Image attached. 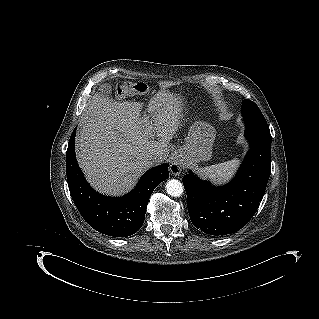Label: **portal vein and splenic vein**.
Wrapping results in <instances>:
<instances>
[{"label":"portal vein and splenic vein","mask_w":319,"mask_h":319,"mask_svg":"<svg viewBox=\"0 0 319 319\" xmlns=\"http://www.w3.org/2000/svg\"><path fill=\"white\" fill-rule=\"evenodd\" d=\"M147 118L149 119V117H147ZM152 129H153V127H152V125H150V126H148L147 131H148V132H151Z\"/></svg>","instance_id":"1"}]
</instances>
